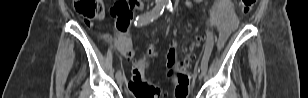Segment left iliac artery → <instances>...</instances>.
Returning <instances> with one entry per match:
<instances>
[{"label": "left iliac artery", "instance_id": "44dca946", "mask_svg": "<svg viewBox=\"0 0 308 98\" xmlns=\"http://www.w3.org/2000/svg\"><path fill=\"white\" fill-rule=\"evenodd\" d=\"M167 8L170 11H172L173 10L172 4L171 3L167 4ZM201 29L205 30L206 26L202 25ZM206 38L208 39V41H207V46H206V49H205V52H204V59L202 60V64H201V68H202L203 72L207 71V63H206V61H209V55H210V52H211V49H212V45L214 44L213 35L211 33H208L206 35Z\"/></svg>", "mask_w": 308, "mask_h": 98}]
</instances>
